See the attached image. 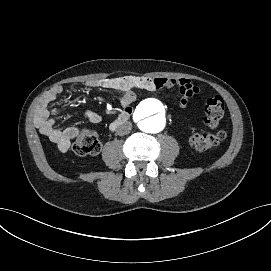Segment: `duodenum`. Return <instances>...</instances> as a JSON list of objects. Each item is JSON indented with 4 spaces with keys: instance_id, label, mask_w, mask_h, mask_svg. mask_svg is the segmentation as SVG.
<instances>
[{
    "instance_id": "obj_1",
    "label": "duodenum",
    "mask_w": 271,
    "mask_h": 271,
    "mask_svg": "<svg viewBox=\"0 0 271 271\" xmlns=\"http://www.w3.org/2000/svg\"><path fill=\"white\" fill-rule=\"evenodd\" d=\"M131 111L124 112L121 115L118 116L117 119H115L111 124V129L116 130L118 127H120L123 123H125L130 118Z\"/></svg>"
}]
</instances>
